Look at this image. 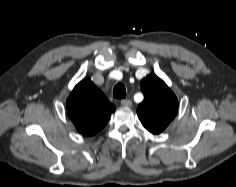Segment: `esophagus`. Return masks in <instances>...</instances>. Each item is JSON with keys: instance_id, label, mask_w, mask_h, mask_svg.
Returning <instances> with one entry per match:
<instances>
[{"instance_id": "34e87169", "label": "esophagus", "mask_w": 236, "mask_h": 187, "mask_svg": "<svg viewBox=\"0 0 236 187\" xmlns=\"http://www.w3.org/2000/svg\"><path fill=\"white\" fill-rule=\"evenodd\" d=\"M121 105L123 107H131L132 106V102L129 99H123V100H121Z\"/></svg>"}]
</instances>
